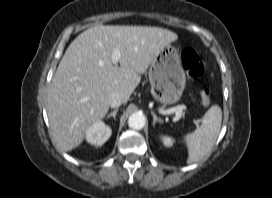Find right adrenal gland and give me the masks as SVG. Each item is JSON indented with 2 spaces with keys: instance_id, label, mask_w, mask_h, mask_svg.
<instances>
[{
  "instance_id": "right-adrenal-gland-1",
  "label": "right adrenal gland",
  "mask_w": 272,
  "mask_h": 198,
  "mask_svg": "<svg viewBox=\"0 0 272 198\" xmlns=\"http://www.w3.org/2000/svg\"><path fill=\"white\" fill-rule=\"evenodd\" d=\"M117 112H118V108H115L113 111H111V112L107 115L106 119H109L110 117H113V119L116 120V114H117Z\"/></svg>"
}]
</instances>
